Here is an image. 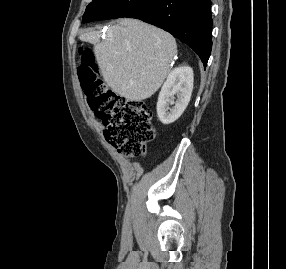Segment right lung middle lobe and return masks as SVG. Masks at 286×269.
I'll list each match as a JSON object with an SVG mask.
<instances>
[{
  "instance_id": "obj_1",
  "label": "right lung middle lobe",
  "mask_w": 286,
  "mask_h": 269,
  "mask_svg": "<svg viewBox=\"0 0 286 269\" xmlns=\"http://www.w3.org/2000/svg\"><path fill=\"white\" fill-rule=\"evenodd\" d=\"M152 0H93L86 8L83 22L128 17Z\"/></svg>"
}]
</instances>
